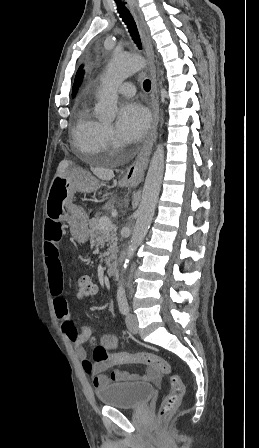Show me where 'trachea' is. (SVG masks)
I'll use <instances>...</instances> for the list:
<instances>
[{"instance_id": "3493384b", "label": "trachea", "mask_w": 259, "mask_h": 448, "mask_svg": "<svg viewBox=\"0 0 259 448\" xmlns=\"http://www.w3.org/2000/svg\"><path fill=\"white\" fill-rule=\"evenodd\" d=\"M115 2L117 4V10L120 13L121 18L127 25L132 40L137 45L139 50H142L141 39L139 36V32L137 30L136 23L134 22L133 17L131 16L129 10L125 7V2H121V0H115ZM143 88L145 92H149L151 89V81L148 79L145 80L143 83Z\"/></svg>"}]
</instances>
